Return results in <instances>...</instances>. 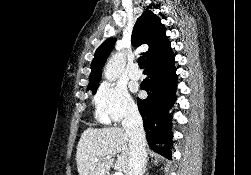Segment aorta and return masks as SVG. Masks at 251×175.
I'll use <instances>...</instances> for the list:
<instances>
[{"instance_id": "aorta-1", "label": "aorta", "mask_w": 251, "mask_h": 175, "mask_svg": "<svg viewBox=\"0 0 251 175\" xmlns=\"http://www.w3.org/2000/svg\"><path fill=\"white\" fill-rule=\"evenodd\" d=\"M126 66V56L123 52H117L110 58L104 70V76L108 82H116L120 74H123Z\"/></svg>"}]
</instances>
